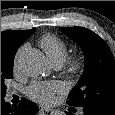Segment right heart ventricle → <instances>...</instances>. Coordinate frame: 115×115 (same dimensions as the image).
<instances>
[{
	"label": "right heart ventricle",
	"instance_id": "1",
	"mask_svg": "<svg viewBox=\"0 0 115 115\" xmlns=\"http://www.w3.org/2000/svg\"><path fill=\"white\" fill-rule=\"evenodd\" d=\"M39 45L53 65H62L67 59V44L58 36L54 34L43 35L39 40Z\"/></svg>",
	"mask_w": 115,
	"mask_h": 115
}]
</instances>
